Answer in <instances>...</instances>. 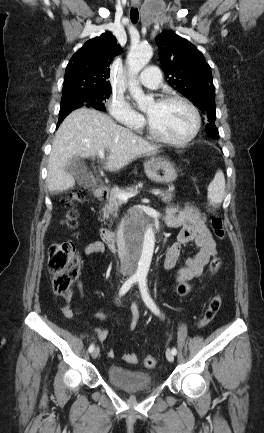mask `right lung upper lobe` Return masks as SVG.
<instances>
[{"label":"right lung upper lobe","mask_w":264,"mask_h":433,"mask_svg":"<svg viewBox=\"0 0 264 433\" xmlns=\"http://www.w3.org/2000/svg\"><path fill=\"white\" fill-rule=\"evenodd\" d=\"M121 52L122 48L110 32L86 42L66 67L62 97L73 92L111 87L107 80L109 65Z\"/></svg>","instance_id":"1"}]
</instances>
